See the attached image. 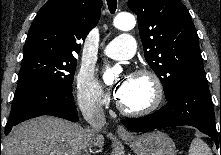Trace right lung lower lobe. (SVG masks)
<instances>
[{
  "mask_svg": "<svg viewBox=\"0 0 221 155\" xmlns=\"http://www.w3.org/2000/svg\"><path fill=\"white\" fill-rule=\"evenodd\" d=\"M42 115L57 116L73 122L79 120L72 93L45 83L32 82L14 96L5 135L14 125Z\"/></svg>",
  "mask_w": 221,
  "mask_h": 155,
  "instance_id": "obj_1",
  "label": "right lung lower lobe"
}]
</instances>
